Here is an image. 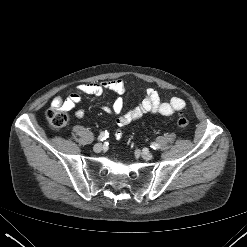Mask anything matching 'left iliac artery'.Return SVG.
Listing matches in <instances>:
<instances>
[{
    "mask_svg": "<svg viewBox=\"0 0 247 247\" xmlns=\"http://www.w3.org/2000/svg\"><path fill=\"white\" fill-rule=\"evenodd\" d=\"M151 148H153L154 150H158L160 148V145L157 143H152Z\"/></svg>",
    "mask_w": 247,
    "mask_h": 247,
    "instance_id": "1",
    "label": "left iliac artery"
}]
</instances>
